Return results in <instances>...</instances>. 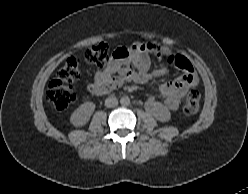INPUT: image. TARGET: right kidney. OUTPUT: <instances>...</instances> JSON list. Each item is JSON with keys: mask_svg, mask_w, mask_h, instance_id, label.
Instances as JSON below:
<instances>
[{"mask_svg": "<svg viewBox=\"0 0 248 194\" xmlns=\"http://www.w3.org/2000/svg\"><path fill=\"white\" fill-rule=\"evenodd\" d=\"M95 110V104L93 102H84L81 104L70 116V122L80 127L85 125Z\"/></svg>", "mask_w": 248, "mask_h": 194, "instance_id": "obj_1", "label": "right kidney"}]
</instances>
